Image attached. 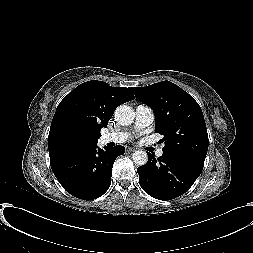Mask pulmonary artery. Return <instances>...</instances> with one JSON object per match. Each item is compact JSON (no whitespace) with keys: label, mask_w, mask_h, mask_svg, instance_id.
<instances>
[{"label":"pulmonary artery","mask_w":253,"mask_h":253,"mask_svg":"<svg viewBox=\"0 0 253 253\" xmlns=\"http://www.w3.org/2000/svg\"><path fill=\"white\" fill-rule=\"evenodd\" d=\"M154 121L153 110L145 105H138L135 109V122L134 128L136 130L144 129L150 126ZM130 137V133L127 131H119L114 133L103 134L100 138L102 144L107 143H123ZM156 155L161 157L163 155V149L159 148L156 151Z\"/></svg>","instance_id":"obj_1"}]
</instances>
